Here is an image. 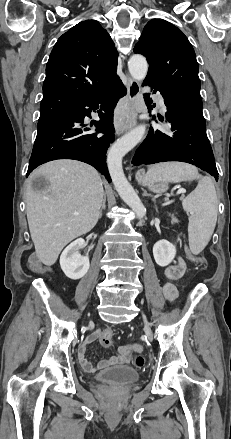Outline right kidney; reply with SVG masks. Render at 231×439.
<instances>
[{"label": "right kidney", "mask_w": 231, "mask_h": 439, "mask_svg": "<svg viewBox=\"0 0 231 439\" xmlns=\"http://www.w3.org/2000/svg\"><path fill=\"white\" fill-rule=\"evenodd\" d=\"M84 239L79 238L69 244L60 256V266L64 274L73 280L82 278L89 270V257L81 256L79 250L84 248Z\"/></svg>", "instance_id": "obj_1"}]
</instances>
